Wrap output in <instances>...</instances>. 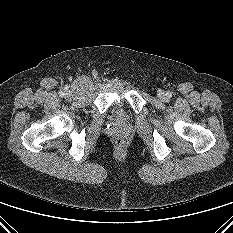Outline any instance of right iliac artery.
<instances>
[{"instance_id":"82829eb1","label":"right iliac artery","mask_w":233,"mask_h":233,"mask_svg":"<svg viewBox=\"0 0 233 233\" xmlns=\"http://www.w3.org/2000/svg\"><path fill=\"white\" fill-rule=\"evenodd\" d=\"M64 95V92L62 91V92H60V96H63Z\"/></svg>"}]
</instances>
